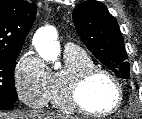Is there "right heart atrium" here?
I'll use <instances>...</instances> for the list:
<instances>
[{"label": "right heart atrium", "mask_w": 142, "mask_h": 119, "mask_svg": "<svg viewBox=\"0 0 142 119\" xmlns=\"http://www.w3.org/2000/svg\"><path fill=\"white\" fill-rule=\"evenodd\" d=\"M14 85L19 99L28 106L40 108L49 101L51 72L34 50H27L17 62Z\"/></svg>", "instance_id": "right-heart-atrium-1"}]
</instances>
